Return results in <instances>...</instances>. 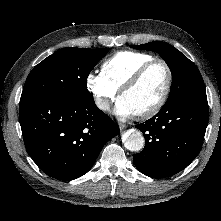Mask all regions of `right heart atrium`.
<instances>
[{
	"label": "right heart atrium",
	"mask_w": 221,
	"mask_h": 221,
	"mask_svg": "<svg viewBox=\"0 0 221 221\" xmlns=\"http://www.w3.org/2000/svg\"><path fill=\"white\" fill-rule=\"evenodd\" d=\"M85 84L97 108L106 111L116 97L117 89L106 80L102 72H89Z\"/></svg>",
	"instance_id": "1"
}]
</instances>
